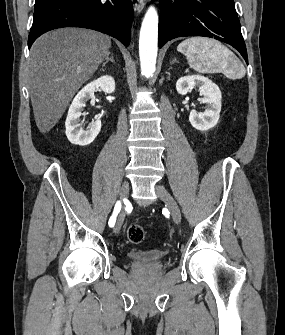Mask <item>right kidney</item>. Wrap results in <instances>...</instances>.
I'll list each match as a JSON object with an SVG mask.
<instances>
[{
  "label": "right kidney",
  "instance_id": "obj_1",
  "mask_svg": "<svg viewBox=\"0 0 285 335\" xmlns=\"http://www.w3.org/2000/svg\"><path fill=\"white\" fill-rule=\"evenodd\" d=\"M96 88H100L105 94H112V92H115V80L112 76H101L98 80H94V82H90V84L84 86V88L78 92L77 96H75L68 110V116L65 122L66 136L69 142L75 144V146H88V144H91V142L95 140L101 130L100 118H95V122H92L86 132L82 130V128L78 130L79 126H81V124H79L80 116H85L82 112L87 100L93 98Z\"/></svg>",
  "mask_w": 285,
  "mask_h": 335
}]
</instances>
